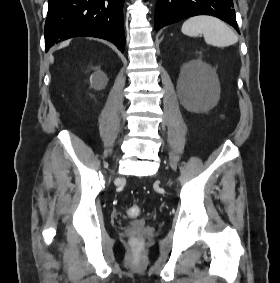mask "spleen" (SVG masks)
Instances as JSON below:
<instances>
[{
    "label": "spleen",
    "mask_w": 280,
    "mask_h": 283,
    "mask_svg": "<svg viewBox=\"0 0 280 283\" xmlns=\"http://www.w3.org/2000/svg\"><path fill=\"white\" fill-rule=\"evenodd\" d=\"M190 37L203 35L205 42L216 47H228L237 43V35L221 20L207 15L187 19L181 28Z\"/></svg>",
    "instance_id": "3e777b00"
}]
</instances>
